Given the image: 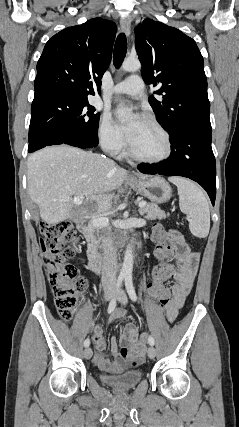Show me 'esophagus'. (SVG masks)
Returning <instances> with one entry per match:
<instances>
[{"instance_id":"34e87169","label":"esophagus","mask_w":239,"mask_h":427,"mask_svg":"<svg viewBox=\"0 0 239 427\" xmlns=\"http://www.w3.org/2000/svg\"><path fill=\"white\" fill-rule=\"evenodd\" d=\"M120 26L122 31L126 34L127 37L130 35V21L127 18H121Z\"/></svg>"}]
</instances>
